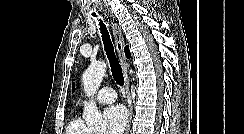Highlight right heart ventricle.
Masks as SVG:
<instances>
[{"label":"right heart ventricle","mask_w":244,"mask_h":134,"mask_svg":"<svg viewBox=\"0 0 244 134\" xmlns=\"http://www.w3.org/2000/svg\"><path fill=\"white\" fill-rule=\"evenodd\" d=\"M65 134H92V132L85 126L79 116H74L68 122Z\"/></svg>","instance_id":"1"}]
</instances>
